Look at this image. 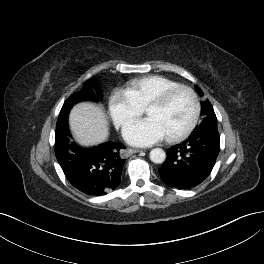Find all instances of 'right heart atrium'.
<instances>
[{
    "instance_id": "d8ad5b80",
    "label": "right heart atrium",
    "mask_w": 264,
    "mask_h": 264,
    "mask_svg": "<svg viewBox=\"0 0 264 264\" xmlns=\"http://www.w3.org/2000/svg\"><path fill=\"white\" fill-rule=\"evenodd\" d=\"M109 113L116 126L124 128L142 114L126 91L117 90L109 99Z\"/></svg>"
}]
</instances>
